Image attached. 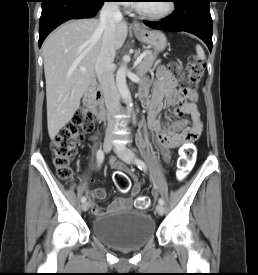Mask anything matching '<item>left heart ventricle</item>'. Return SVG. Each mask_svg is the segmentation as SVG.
I'll return each mask as SVG.
<instances>
[{
	"mask_svg": "<svg viewBox=\"0 0 258 275\" xmlns=\"http://www.w3.org/2000/svg\"><path fill=\"white\" fill-rule=\"evenodd\" d=\"M145 3H138L139 6L151 14H161L168 8V1H144Z\"/></svg>",
	"mask_w": 258,
	"mask_h": 275,
	"instance_id": "obj_1",
	"label": "left heart ventricle"
}]
</instances>
